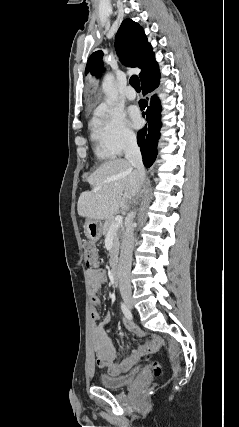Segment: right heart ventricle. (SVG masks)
Here are the masks:
<instances>
[{
    "instance_id": "right-heart-ventricle-1",
    "label": "right heart ventricle",
    "mask_w": 239,
    "mask_h": 427,
    "mask_svg": "<svg viewBox=\"0 0 239 427\" xmlns=\"http://www.w3.org/2000/svg\"><path fill=\"white\" fill-rule=\"evenodd\" d=\"M91 138L94 143V152L97 158L109 159L114 156L113 152L107 147L96 121L92 123Z\"/></svg>"
}]
</instances>
